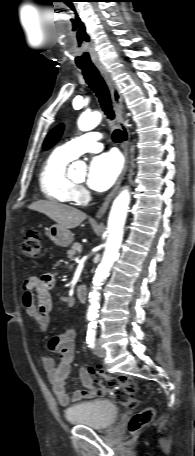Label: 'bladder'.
Instances as JSON below:
<instances>
[{"label": "bladder", "mask_w": 195, "mask_h": 456, "mask_svg": "<svg viewBox=\"0 0 195 456\" xmlns=\"http://www.w3.org/2000/svg\"><path fill=\"white\" fill-rule=\"evenodd\" d=\"M120 415L119 407L109 400H95L71 406L65 411L66 420L72 425L96 430L111 427Z\"/></svg>", "instance_id": "obj_1"}]
</instances>
